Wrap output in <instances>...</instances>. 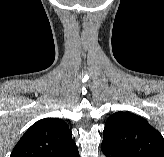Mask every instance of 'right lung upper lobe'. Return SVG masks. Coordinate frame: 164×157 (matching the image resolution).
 I'll return each mask as SVG.
<instances>
[{
  "label": "right lung upper lobe",
  "mask_w": 164,
  "mask_h": 157,
  "mask_svg": "<svg viewBox=\"0 0 164 157\" xmlns=\"http://www.w3.org/2000/svg\"><path fill=\"white\" fill-rule=\"evenodd\" d=\"M75 146L67 123L58 118H44L25 132L10 157H59Z\"/></svg>",
  "instance_id": "1"
}]
</instances>
